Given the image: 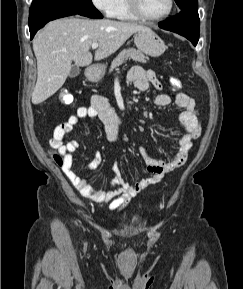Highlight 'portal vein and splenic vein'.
<instances>
[{
	"label": "portal vein and splenic vein",
	"mask_w": 243,
	"mask_h": 289,
	"mask_svg": "<svg viewBox=\"0 0 243 289\" xmlns=\"http://www.w3.org/2000/svg\"><path fill=\"white\" fill-rule=\"evenodd\" d=\"M98 46H99V43L95 42L92 44L91 47H92V49H96Z\"/></svg>",
	"instance_id": "portal-vein-and-splenic-vein-1"
}]
</instances>
